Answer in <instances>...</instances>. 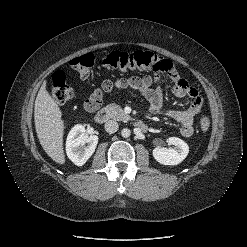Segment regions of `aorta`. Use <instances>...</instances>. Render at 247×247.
Returning <instances> with one entry per match:
<instances>
[{"instance_id": "1", "label": "aorta", "mask_w": 247, "mask_h": 247, "mask_svg": "<svg viewBox=\"0 0 247 247\" xmlns=\"http://www.w3.org/2000/svg\"><path fill=\"white\" fill-rule=\"evenodd\" d=\"M130 134H131V131L128 128H124L121 130V136L124 138H128Z\"/></svg>"}]
</instances>
